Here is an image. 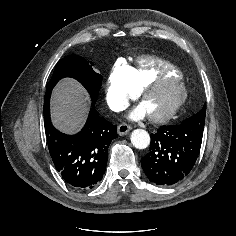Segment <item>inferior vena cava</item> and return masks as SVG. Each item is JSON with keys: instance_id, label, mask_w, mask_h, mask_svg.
Returning a JSON list of instances; mask_svg holds the SVG:
<instances>
[{"instance_id": "602c4592", "label": "inferior vena cava", "mask_w": 236, "mask_h": 236, "mask_svg": "<svg viewBox=\"0 0 236 236\" xmlns=\"http://www.w3.org/2000/svg\"><path fill=\"white\" fill-rule=\"evenodd\" d=\"M127 106L123 105V104H117L115 106V110L116 111H123L124 109H126Z\"/></svg>"}]
</instances>
